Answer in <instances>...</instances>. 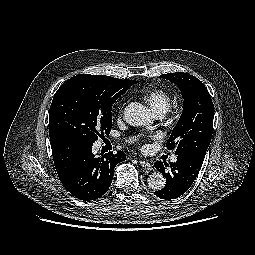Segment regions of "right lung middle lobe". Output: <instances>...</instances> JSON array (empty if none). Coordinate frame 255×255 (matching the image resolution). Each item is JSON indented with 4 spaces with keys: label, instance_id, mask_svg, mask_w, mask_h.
<instances>
[{
    "label": "right lung middle lobe",
    "instance_id": "1",
    "mask_svg": "<svg viewBox=\"0 0 255 255\" xmlns=\"http://www.w3.org/2000/svg\"><path fill=\"white\" fill-rule=\"evenodd\" d=\"M136 81L79 74L55 93L49 112L50 138L64 135L93 144L109 134L112 105Z\"/></svg>",
    "mask_w": 255,
    "mask_h": 255
}]
</instances>
